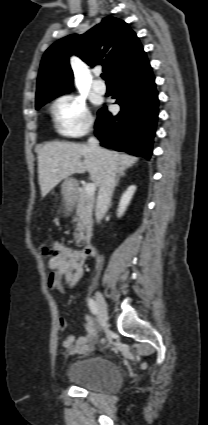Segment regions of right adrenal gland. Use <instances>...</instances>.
Returning <instances> with one entry per match:
<instances>
[{
	"mask_svg": "<svg viewBox=\"0 0 208 425\" xmlns=\"http://www.w3.org/2000/svg\"><path fill=\"white\" fill-rule=\"evenodd\" d=\"M125 171H126V168L123 167V166H121V167L118 168L115 187L118 186L119 181H120V178L126 176Z\"/></svg>",
	"mask_w": 208,
	"mask_h": 425,
	"instance_id": "1",
	"label": "right adrenal gland"
}]
</instances>
